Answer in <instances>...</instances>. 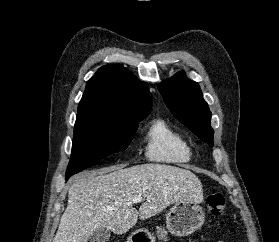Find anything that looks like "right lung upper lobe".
I'll list each match as a JSON object with an SVG mask.
<instances>
[{
	"label": "right lung upper lobe",
	"instance_id": "obj_1",
	"mask_svg": "<svg viewBox=\"0 0 279 242\" xmlns=\"http://www.w3.org/2000/svg\"><path fill=\"white\" fill-rule=\"evenodd\" d=\"M152 107L146 83L121 65H105L87 82L77 117L139 122Z\"/></svg>",
	"mask_w": 279,
	"mask_h": 242
}]
</instances>
